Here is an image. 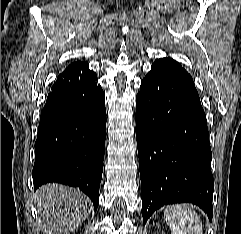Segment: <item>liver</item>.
<instances>
[{"mask_svg":"<svg viewBox=\"0 0 241 234\" xmlns=\"http://www.w3.org/2000/svg\"><path fill=\"white\" fill-rule=\"evenodd\" d=\"M38 227L44 234H70L90 213L91 201L78 189L46 184L35 193Z\"/></svg>","mask_w":241,"mask_h":234,"instance_id":"obj_1","label":"liver"}]
</instances>
